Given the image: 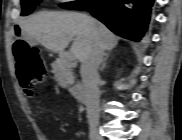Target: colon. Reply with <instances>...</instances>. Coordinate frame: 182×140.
I'll return each mask as SVG.
<instances>
[{"instance_id": "1", "label": "colon", "mask_w": 182, "mask_h": 140, "mask_svg": "<svg viewBox=\"0 0 182 140\" xmlns=\"http://www.w3.org/2000/svg\"><path fill=\"white\" fill-rule=\"evenodd\" d=\"M13 54L17 61V71L24 93L31 97L35 87L47 78L43 58L38 49L30 47L23 40L13 44Z\"/></svg>"}]
</instances>
